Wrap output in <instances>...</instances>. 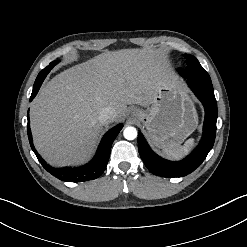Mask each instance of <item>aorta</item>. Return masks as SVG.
I'll list each match as a JSON object with an SVG mask.
<instances>
[{"mask_svg":"<svg viewBox=\"0 0 247 247\" xmlns=\"http://www.w3.org/2000/svg\"><path fill=\"white\" fill-rule=\"evenodd\" d=\"M123 135L127 140H134L137 137V130L132 126H128L124 129Z\"/></svg>","mask_w":247,"mask_h":247,"instance_id":"762f6f07","label":"aorta"}]
</instances>
